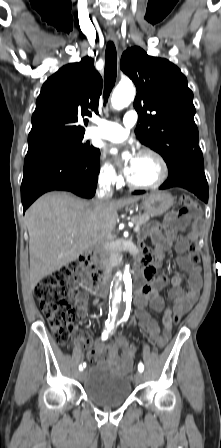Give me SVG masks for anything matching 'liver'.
Here are the masks:
<instances>
[{"label":"liver","mask_w":221,"mask_h":448,"mask_svg":"<svg viewBox=\"0 0 221 448\" xmlns=\"http://www.w3.org/2000/svg\"><path fill=\"white\" fill-rule=\"evenodd\" d=\"M139 196L109 200L96 206L66 192H50L26 211L29 233L30 286L77 260L81 254L108 239L115 229L118 209Z\"/></svg>","instance_id":"1"}]
</instances>
